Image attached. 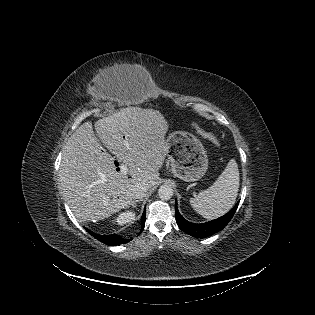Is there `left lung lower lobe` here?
I'll use <instances>...</instances> for the list:
<instances>
[{
    "mask_svg": "<svg viewBox=\"0 0 315 315\" xmlns=\"http://www.w3.org/2000/svg\"><path fill=\"white\" fill-rule=\"evenodd\" d=\"M238 204L239 202L234 206V208L230 212H228L227 214L223 215L220 218H217L206 223L196 224L187 221L180 215L176 201L175 204L176 222L179 228L185 233L196 238H205L222 230L230 222L234 213L237 210Z\"/></svg>",
    "mask_w": 315,
    "mask_h": 315,
    "instance_id": "obj_1",
    "label": "left lung lower lobe"
}]
</instances>
